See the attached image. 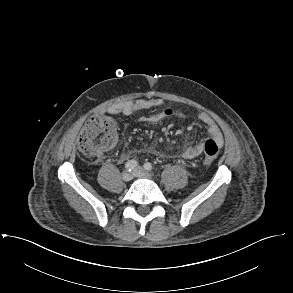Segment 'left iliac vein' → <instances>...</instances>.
Listing matches in <instances>:
<instances>
[{"label":"left iliac vein","instance_id":"1","mask_svg":"<svg viewBox=\"0 0 293 293\" xmlns=\"http://www.w3.org/2000/svg\"><path fill=\"white\" fill-rule=\"evenodd\" d=\"M133 174H134V176L140 177V178H147V179H150L151 178L150 173H148L147 171H145L142 167H137L134 170Z\"/></svg>","mask_w":293,"mask_h":293}]
</instances>
